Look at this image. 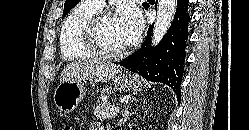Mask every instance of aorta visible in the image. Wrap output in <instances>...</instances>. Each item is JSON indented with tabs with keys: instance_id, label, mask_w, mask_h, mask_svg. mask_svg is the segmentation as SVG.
<instances>
[{
	"instance_id": "1",
	"label": "aorta",
	"mask_w": 249,
	"mask_h": 130,
	"mask_svg": "<svg viewBox=\"0 0 249 130\" xmlns=\"http://www.w3.org/2000/svg\"><path fill=\"white\" fill-rule=\"evenodd\" d=\"M176 0H159L157 6V18L154 25L152 45L156 46L167 33L176 10Z\"/></svg>"
}]
</instances>
